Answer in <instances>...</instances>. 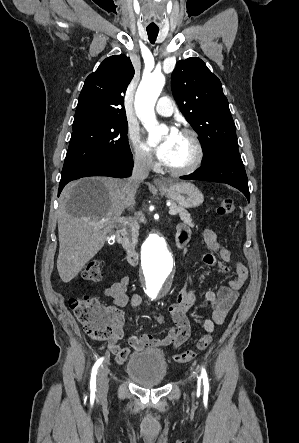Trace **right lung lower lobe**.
<instances>
[{"instance_id": "1", "label": "right lung lower lobe", "mask_w": 299, "mask_h": 443, "mask_svg": "<svg viewBox=\"0 0 299 443\" xmlns=\"http://www.w3.org/2000/svg\"><path fill=\"white\" fill-rule=\"evenodd\" d=\"M132 168H133L132 153L130 157L104 160L89 165L71 174L67 178L61 179L58 189V196L60 195L64 186L72 180L88 176H110L117 178H125L131 175Z\"/></svg>"}]
</instances>
